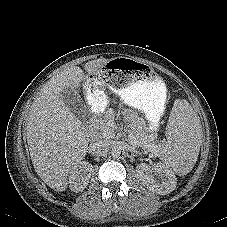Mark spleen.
Segmentation results:
<instances>
[{
	"mask_svg": "<svg viewBox=\"0 0 227 227\" xmlns=\"http://www.w3.org/2000/svg\"><path fill=\"white\" fill-rule=\"evenodd\" d=\"M201 127L198 118L185 100L174 104L168 124L169 144L161 150L166 165L178 175L188 174L197 161Z\"/></svg>",
	"mask_w": 227,
	"mask_h": 227,
	"instance_id": "3e777b00",
	"label": "spleen"
}]
</instances>
